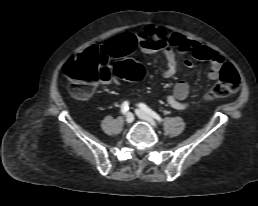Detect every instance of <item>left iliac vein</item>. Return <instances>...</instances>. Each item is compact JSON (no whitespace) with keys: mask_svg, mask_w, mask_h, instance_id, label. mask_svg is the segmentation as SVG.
<instances>
[{"mask_svg":"<svg viewBox=\"0 0 258 206\" xmlns=\"http://www.w3.org/2000/svg\"><path fill=\"white\" fill-rule=\"evenodd\" d=\"M135 112H136V115H137L140 119L146 121V122L149 123L152 127L155 128V127L157 126V125H156V122L152 119V117L149 116V115H148L147 113H145L144 111H142V110H140V109H136Z\"/></svg>","mask_w":258,"mask_h":206,"instance_id":"left-iliac-vein-1","label":"left iliac vein"}]
</instances>
